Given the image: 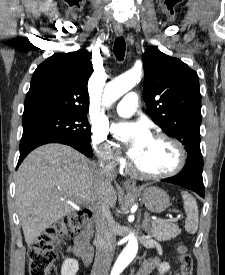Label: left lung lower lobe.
Instances as JSON below:
<instances>
[{"mask_svg":"<svg viewBox=\"0 0 225 275\" xmlns=\"http://www.w3.org/2000/svg\"><path fill=\"white\" fill-rule=\"evenodd\" d=\"M203 158L201 152L188 154L186 164L182 171L171 178L162 179V182H169L188 188L204 197L205 190L202 178Z\"/></svg>","mask_w":225,"mask_h":275,"instance_id":"0a47b994","label":"left lung lower lobe"}]
</instances>
